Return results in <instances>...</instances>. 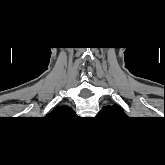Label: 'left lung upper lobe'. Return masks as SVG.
<instances>
[{
  "label": "left lung upper lobe",
  "instance_id": "1",
  "mask_svg": "<svg viewBox=\"0 0 165 165\" xmlns=\"http://www.w3.org/2000/svg\"><path fill=\"white\" fill-rule=\"evenodd\" d=\"M100 113L104 115H114V116H121V117L125 115L123 109L118 105L105 106L102 108Z\"/></svg>",
  "mask_w": 165,
  "mask_h": 165
}]
</instances>
